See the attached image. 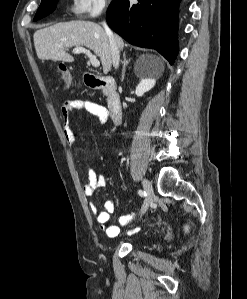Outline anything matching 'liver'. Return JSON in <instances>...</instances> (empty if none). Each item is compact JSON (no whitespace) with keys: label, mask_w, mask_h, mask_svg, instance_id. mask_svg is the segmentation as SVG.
<instances>
[{"label":"liver","mask_w":247,"mask_h":299,"mask_svg":"<svg viewBox=\"0 0 247 299\" xmlns=\"http://www.w3.org/2000/svg\"><path fill=\"white\" fill-rule=\"evenodd\" d=\"M118 49H123L124 42L114 35ZM34 45L40 60L63 61L71 63L74 57L67 53L71 47L85 46L94 51L100 58L103 73L111 70L112 57L109 38L105 30L97 23L90 21L61 22L39 29L34 33ZM156 69V75L164 71L163 61L155 55H144Z\"/></svg>","instance_id":"liver-1"}]
</instances>
